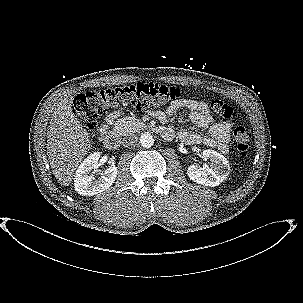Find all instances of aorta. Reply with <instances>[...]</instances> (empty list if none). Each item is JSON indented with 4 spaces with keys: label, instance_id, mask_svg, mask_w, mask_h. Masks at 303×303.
<instances>
[{
    "label": "aorta",
    "instance_id": "762f6f07",
    "mask_svg": "<svg viewBox=\"0 0 303 303\" xmlns=\"http://www.w3.org/2000/svg\"><path fill=\"white\" fill-rule=\"evenodd\" d=\"M140 143L141 146L144 148H150L154 145V138L151 134L149 133H143L140 136Z\"/></svg>",
    "mask_w": 303,
    "mask_h": 303
}]
</instances>
